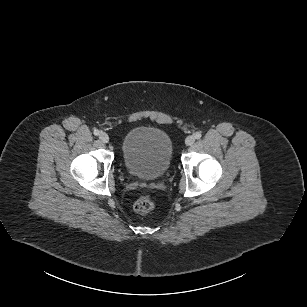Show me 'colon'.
<instances>
[{
    "label": "colon",
    "instance_id": "colon-1",
    "mask_svg": "<svg viewBox=\"0 0 307 307\" xmlns=\"http://www.w3.org/2000/svg\"><path fill=\"white\" fill-rule=\"evenodd\" d=\"M155 208V202L149 195L139 197L134 203V210L138 214H146Z\"/></svg>",
    "mask_w": 307,
    "mask_h": 307
}]
</instances>
